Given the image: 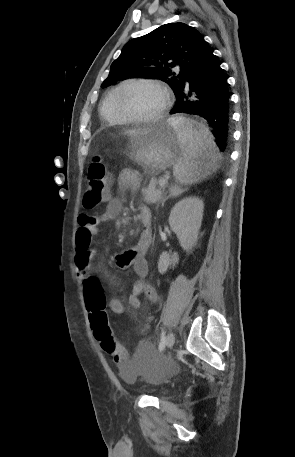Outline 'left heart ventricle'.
Masks as SVG:
<instances>
[{
	"label": "left heart ventricle",
	"instance_id": "left-heart-ventricle-1",
	"mask_svg": "<svg viewBox=\"0 0 295 457\" xmlns=\"http://www.w3.org/2000/svg\"><path fill=\"white\" fill-rule=\"evenodd\" d=\"M165 96L155 86L139 85L130 88L122 97L124 107L138 117L156 115L162 109Z\"/></svg>",
	"mask_w": 295,
	"mask_h": 457
}]
</instances>
